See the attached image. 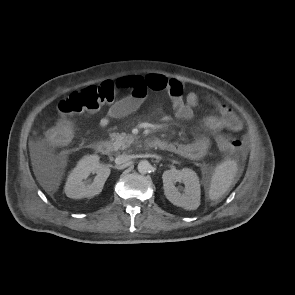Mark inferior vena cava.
<instances>
[{"label": "inferior vena cava", "instance_id": "1", "mask_svg": "<svg viewBox=\"0 0 295 295\" xmlns=\"http://www.w3.org/2000/svg\"><path fill=\"white\" fill-rule=\"evenodd\" d=\"M130 160V156L129 155H119V156H117L116 158H115V163L117 164V165H120V164H123V163H125V162H127V161H129Z\"/></svg>", "mask_w": 295, "mask_h": 295}]
</instances>
